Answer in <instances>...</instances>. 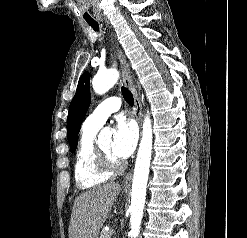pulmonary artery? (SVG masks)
<instances>
[{"label":"pulmonary artery","instance_id":"1","mask_svg":"<svg viewBox=\"0 0 247 238\" xmlns=\"http://www.w3.org/2000/svg\"><path fill=\"white\" fill-rule=\"evenodd\" d=\"M121 108L119 97L112 96L102 101L85 119L84 124L87 127L99 129L114 112Z\"/></svg>","mask_w":247,"mask_h":238}]
</instances>
